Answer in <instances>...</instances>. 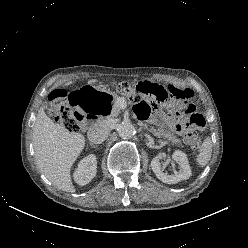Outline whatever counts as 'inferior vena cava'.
<instances>
[{
	"mask_svg": "<svg viewBox=\"0 0 248 248\" xmlns=\"http://www.w3.org/2000/svg\"><path fill=\"white\" fill-rule=\"evenodd\" d=\"M111 123L108 120L96 122L88 131L87 136L92 144L103 143L111 131Z\"/></svg>",
	"mask_w": 248,
	"mask_h": 248,
	"instance_id": "1",
	"label": "inferior vena cava"
}]
</instances>
